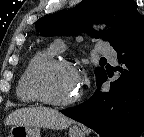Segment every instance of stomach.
I'll return each instance as SVG.
<instances>
[{
  "instance_id": "obj_1",
  "label": "stomach",
  "mask_w": 144,
  "mask_h": 137,
  "mask_svg": "<svg viewBox=\"0 0 144 137\" xmlns=\"http://www.w3.org/2000/svg\"><path fill=\"white\" fill-rule=\"evenodd\" d=\"M10 137H40V129L36 126L15 125L11 128ZM69 137H85L78 126L69 129Z\"/></svg>"
}]
</instances>
